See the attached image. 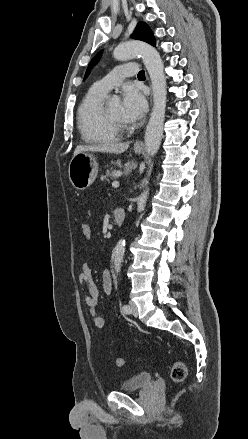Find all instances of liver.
Here are the masks:
<instances>
[{"mask_svg":"<svg viewBox=\"0 0 248 439\" xmlns=\"http://www.w3.org/2000/svg\"><path fill=\"white\" fill-rule=\"evenodd\" d=\"M129 147L128 142H108L98 145H78L75 148L74 155L80 152H103L111 154H121Z\"/></svg>","mask_w":248,"mask_h":439,"instance_id":"obj_1","label":"liver"}]
</instances>
